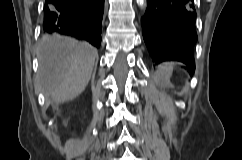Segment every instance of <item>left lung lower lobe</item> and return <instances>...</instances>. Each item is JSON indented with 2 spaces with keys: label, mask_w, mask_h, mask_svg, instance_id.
<instances>
[{
  "label": "left lung lower lobe",
  "mask_w": 242,
  "mask_h": 160,
  "mask_svg": "<svg viewBox=\"0 0 242 160\" xmlns=\"http://www.w3.org/2000/svg\"><path fill=\"white\" fill-rule=\"evenodd\" d=\"M194 0H147L141 19L143 38L155 64L180 61L195 70L193 46L197 41Z\"/></svg>",
  "instance_id": "1"
}]
</instances>
